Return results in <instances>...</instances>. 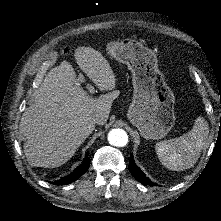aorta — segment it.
Wrapping results in <instances>:
<instances>
[{"label":"aorta","mask_w":221,"mask_h":221,"mask_svg":"<svg viewBox=\"0 0 221 221\" xmlns=\"http://www.w3.org/2000/svg\"><path fill=\"white\" fill-rule=\"evenodd\" d=\"M108 141L115 147H124L128 143V135L123 129H112L108 133Z\"/></svg>","instance_id":"1"}]
</instances>
